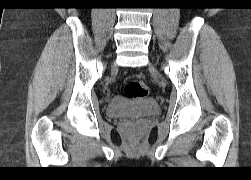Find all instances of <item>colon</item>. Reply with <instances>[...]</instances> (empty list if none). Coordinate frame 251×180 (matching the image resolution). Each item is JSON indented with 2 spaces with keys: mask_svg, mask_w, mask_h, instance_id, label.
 Here are the masks:
<instances>
[{
  "mask_svg": "<svg viewBox=\"0 0 251 180\" xmlns=\"http://www.w3.org/2000/svg\"><path fill=\"white\" fill-rule=\"evenodd\" d=\"M149 93V87L143 81L131 80L125 86V94L132 99L144 98Z\"/></svg>",
  "mask_w": 251,
  "mask_h": 180,
  "instance_id": "colon-1",
  "label": "colon"
}]
</instances>
